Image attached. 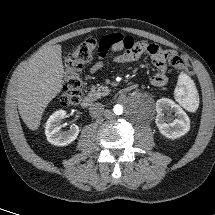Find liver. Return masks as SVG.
<instances>
[{"mask_svg":"<svg viewBox=\"0 0 215 215\" xmlns=\"http://www.w3.org/2000/svg\"><path fill=\"white\" fill-rule=\"evenodd\" d=\"M61 53L59 44L41 48L14 76L18 110L30 130L39 128L45 108L62 90Z\"/></svg>","mask_w":215,"mask_h":215,"instance_id":"obj_1","label":"liver"}]
</instances>
